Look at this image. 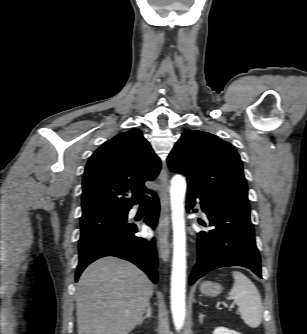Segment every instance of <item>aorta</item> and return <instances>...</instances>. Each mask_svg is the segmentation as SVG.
Listing matches in <instances>:
<instances>
[{"label":"aorta","mask_w":307,"mask_h":334,"mask_svg":"<svg viewBox=\"0 0 307 334\" xmlns=\"http://www.w3.org/2000/svg\"><path fill=\"white\" fill-rule=\"evenodd\" d=\"M185 193V179L181 175H175L171 180L170 187L173 226V259L170 298L172 318L177 331L182 329L186 316Z\"/></svg>","instance_id":"1"}]
</instances>
